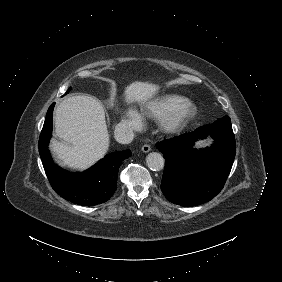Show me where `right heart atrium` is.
<instances>
[{"mask_svg": "<svg viewBox=\"0 0 282 282\" xmlns=\"http://www.w3.org/2000/svg\"><path fill=\"white\" fill-rule=\"evenodd\" d=\"M121 125L130 131H136L141 127L142 123L137 114L129 113L127 118L122 121Z\"/></svg>", "mask_w": 282, "mask_h": 282, "instance_id": "right-heart-atrium-1", "label": "right heart atrium"}]
</instances>
